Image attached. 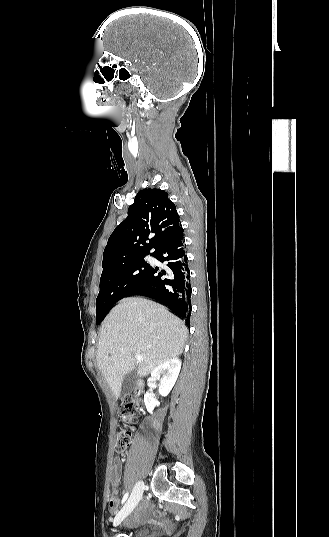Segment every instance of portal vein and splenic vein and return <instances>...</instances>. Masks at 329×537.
<instances>
[{
  "label": "portal vein and splenic vein",
  "instance_id": "18ae733b",
  "mask_svg": "<svg viewBox=\"0 0 329 537\" xmlns=\"http://www.w3.org/2000/svg\"><path fill=\"white\" fill-rule=\"evenodd\" d=\"M135 358H136V360L139 361V362H141V361L144 360V358H143L141 355H136Z\"/></svg>",
  "mask_w": 329,
  "mask_h": 537
}]
</instances>
